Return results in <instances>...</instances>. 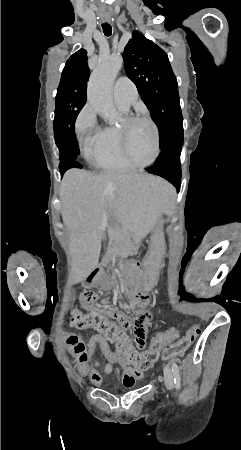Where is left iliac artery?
<instances>
[{
  "mask_svg": "<svg viewBox=\"0 0 241 450\" xmlns=\"http://www.w3.org/2000/svg\"><path fill=\"white\" fill-rule=\"evenodd\" d=\"M171 365H172V371L174 374L175 388L178 390L181 387V378H180V374H179V367L174 360H172Z\"/></svg>",
  "mask_w": 241,
  "mask_h": 450,
  "instance_id": "44dca946",
  "label": "left iliac artery"
}]
</instances>
